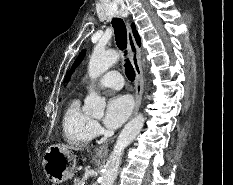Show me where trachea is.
I'll return each mask as SVG.
<instances>
[{"label":"trachea","instance_id":"1","mask_svg":"<svg viewBox=\"0 0 233 185\" xmlns=\"http://www.w3.org/2000/svg\"><path fill=\"white\" fill-rule=\"evenodd\" d=\"M112 25L114 28L115 33V40L118 48L124 51L126 56V47H127V33H126V26L122 19L114 18L112 20ZM125 74L130 81H134L135 79V71L132 67L130 61L128 59L125 60Z\"/></svg>","mask_w":233,"mask_h":185}]
</instances>
